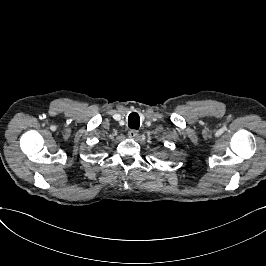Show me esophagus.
Instances as JSON below:
<instances>
[{
	"mask_svg": "<svg viewBox=\"0 0 266 266\" xmlns=\"http://www.w3.org/2000/svg\"><path fill=\"white\" fill-rule=\"evenodd\" d=\"M137 136H138V131L137 130H134V129L129 130V132H128V137L129 138H135Z\"/></svg>",
	"mask_w": 266,
	"mask_h": 266,
	"instance_id": "obj_1",
	"label": "esophagus"
}]
</instances>
